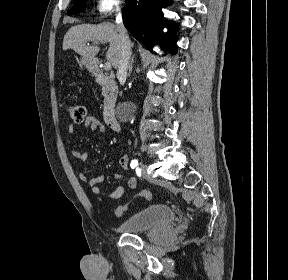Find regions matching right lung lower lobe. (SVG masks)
<instances>
[{
	"label": "right lung lower lobe",
	"mask_w": 288,
	"mask_h": 280,
	"mask_svg": "<svg viewBox=\"0 0 288 280\" xmlns=\"http://www.w3.org/2000/svg\"><path fill=\"white\" fill-rule=\"evenodd\" d=\"M172 0H126L123 8V23L130 33L141 41L148 50L155 44L172 54L177 52L175 23L169 24V31L162 33L165 25L162 8L171 4Z\"/></svg>",
	"instance_id": "right-lung-lower-lobe-1"
}]
</instances>
